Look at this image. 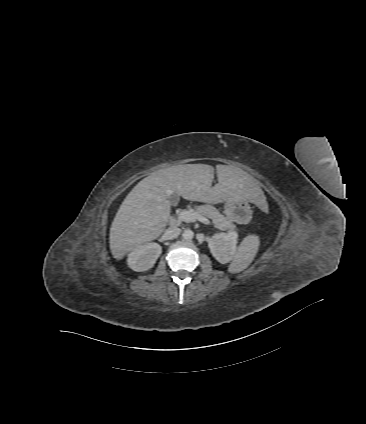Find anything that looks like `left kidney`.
<instances>
[{
  "instance_id": "5707ae66",
  "label": "left kidney",
  "mask_w": 366,
  "mask_h": 424,
  "mask_svg": "<svg viewBox=\"0 0 366 424\" xmlns=\"http://www.w3.org/2000/svg\"><path fill=\"white\" fill-rule=\"evenodd\" d=\"M238 235L236 232L214 234L208 242L213 257L221 264L232 260L237 250Z\"/></svg>"
}]
</instances>
